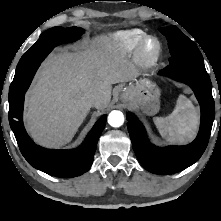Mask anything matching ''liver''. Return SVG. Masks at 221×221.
Masks as SVG:
<instances>
[{"label": "liver", "instance_id": "1", "mask_svg": "<svg viewBox=\"0 0 221 221\" xmlns=\"http://www.w3.org/2000/svg\"><path fill=\"white\" fill-rule=\"evenodd\" d=\"M135 75L126 53L106 36L83 50L50 54L26 94L27 131L42 146H64L90 111L88 96L98 94L96 108L103 110L110 102L112 84L128 82Z\"/></svg>", "mask_w": 221, "mask_h": 221}]
</instances>
